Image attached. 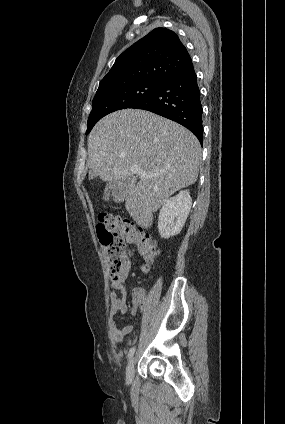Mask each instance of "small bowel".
Segmentation results:
<instances>
[{"mask_svg":"<svg viewBox=\"0 0 285 424\" xmlns=\"http://www.w3.org/2000/svg\"><path fill=\"white\" fill-rule=\"evenodd\" d=\"M130 269L129 262L126 263L123 273L118 279H113L111 283L110 294V317L111 327L113 331V338L117 344H121L124 338L131 332L132 325L127 323L119 326L113 319L117 315H122L127 312V287L126 279ZM149 305V300L146 297L145 289L143 287H135L132 291V305L131 315L134 316L137 310H146Z\"/></svg>","mask_w":285,"mask_h":424,"instance_id":"c3829d8e","label":"small bowel"}]
</instances>
